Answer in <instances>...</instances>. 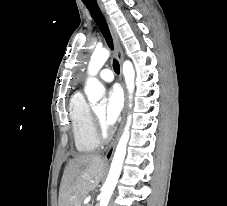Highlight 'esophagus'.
I'll return each mask as SVG.
<instances>
[{
	"instance_id": "34e87169",
	"label": "esophagus",
	"mask_w": 227,
	"mask_h": 206,
	"mask_svg": "<svg viewBox=\"0 0 227 206\" xmlns=\"http://www.w3.org/2000/svg\"><path fill=\"white\" fill-rule=\"evenodd\" d=\"M98 5H99V8H100L101 12L103 13L106 21H107L108 27L110 29V32H111V35H112V38H113V41H114L116 54H117V59H118V61L120 63V68L122 69V62H123L124 54H123V49H122V45H121L118 33H117V31H116V29H115V27H114L109 15L107 14L103 3L100 0H98ZM121 81H122V85H123V87L125 89V85H124V82H123V79H122V73H121ZM125 114H126V90H125V105H124V109H123V112H122V121H121L119 130L117 132V135H116L115 139L111 143L107 153L104 156V159L106 161H110L112 156H113V154H114V150H115L117 141H118V139L120 137V134L122 132V128H123V125H124Z\"/></svg>"
}]
</instances>
